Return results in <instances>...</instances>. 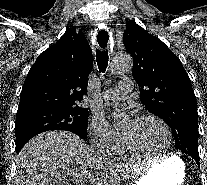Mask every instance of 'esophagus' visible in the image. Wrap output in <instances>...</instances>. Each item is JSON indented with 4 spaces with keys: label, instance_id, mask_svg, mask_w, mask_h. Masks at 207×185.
<instances>
[{
    "label": "esophagus",
    "instance_id": "obj_1",
    "mask_svg": "<svg viewBox=\"0 0 207 185\" xmlns=\"http://www.w3.org/2000/svg\"><path fill=\"white\" fill-rule=\"evenodd\" d=\"M106 28L107 27L105 26L103 30L106 31ZM93 39L96 46H100L101 43V48H108V43L110 42L109 33H98V30H95Z\"/></svg>",
    "mask_w": 207,
    "mask_h": 185
}]
</instances>
